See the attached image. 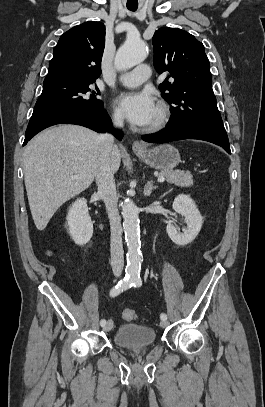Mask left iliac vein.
<instances>
[{
    "label": "left iliac vein",
    "instance_id": "obj_1",
    "mask_svg": "<svg viewBox=\"0 0 265 407\" xmlns=\"http://www.w3.org/2000/svg\"><path fill=\"white\" fill-rule=\"evenodd\" d=\"M167 325H168V322H167L166 320H162V321L160 322V326H161L162 328L167 327Z\"/></svg>",
    "mask_w": 265,
    "mask_h": 407
}]
</instances>
